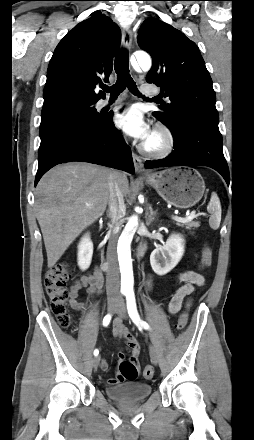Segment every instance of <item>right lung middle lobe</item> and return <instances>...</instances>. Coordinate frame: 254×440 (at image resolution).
I'll use <instances>...</instances> for the list:
<instances>
[{
	"instance_id": "dd1d6c3e",
	"label": "right lung middle lobe",
	"mask_w": 254,
	"mask_h": 440,
	"mask_svg": "<svg viewBox=\"0 0 254 440\" xmlns=\"http://www.w3.org/2000/svg\"><path fill=\"white\" fill-rule=\"evenodd\" d=\"M91 100L75 95H61L44 101L40 124V149L59 133L70 129L92 127L99 113Z\"/></svg>"
}]
</instances>
